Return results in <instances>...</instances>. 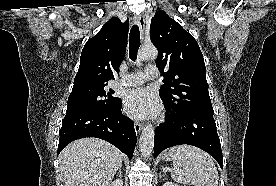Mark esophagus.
<instances>
[{"instance_id": "esophagus-1", "label": "esophagus", "mask_w": 276, "mask_h": 186, "mask_svg": "<svg viewBox=\"0 0 276 186\" xmlns=\"http://www.w3.org/2000/svg\"><path fill=\"white\" fill-rule=\"evenodd\" d=\"M137 22L140 28L142 39H144V33H145V16L143 14L139 15L137 18ZM134 129L136 133H140L142 130V124L140 122H134Z\"/></svg>"}]
</instances>
